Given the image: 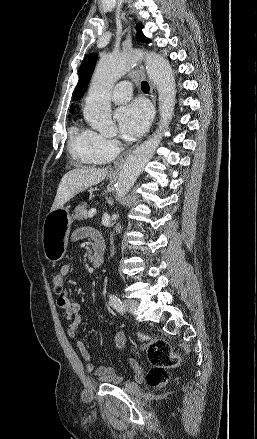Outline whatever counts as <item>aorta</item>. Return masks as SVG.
Returning a JSON list of instances; mask_svg holds the SVG:
<instances>
[{
    "instance_id": "1",
    "label": "aorta",
    "mask_w": 257,
    "mask_h": 439,
    "mask_svg": "<svg viewBox=\"0 0 257 439\" xmlns=\"http://www.w3.org/2000/svg\"><path fill=\"white\" fill-rule=\"evenodd\" d=\"M141 57H145L147 74L157 86L161 119L158 131L125 160L116 183L118 199L130 191L153 157L162 139V130L168 127L174 114L176 84L169 62L155 52L140 50H130L120 55H103L93 75L83 112L86 121L99 133L114 135L117 129L112 120L110 105L113 86Z\"/></svg>"
}]
</instances>
